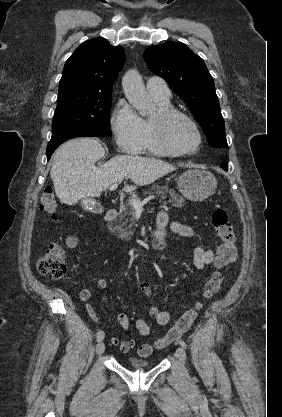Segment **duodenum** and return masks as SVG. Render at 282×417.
Returning <instances> with one entry per match:
<instances>
[{"instance_id": "obj_1", "label": "duodenum", "mask_w": 282, "mask_h": 417, "mask_svg": "<svg viewBox=\"0 0 282 417\" xmlns=\"http://www.w3.org/2000/svg\"><path fill=\"white\" fill-rule=\"evenodd\" d=\"M118 216V210L116 208H111L105 215V219L103 222L104 227H108V225ZM158 235H153L150 237L145 238L143 241L145 243H150L152 242V244H154L155 246H157L156 249H163L164 248V242L160 243V244H155V239L158 238Z\"/></svg>"}]
</instances>
